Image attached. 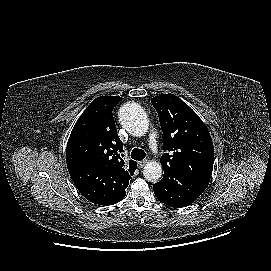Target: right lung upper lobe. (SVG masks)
<instances>
[{"instance_id":"obj_1","label":"right lung upper lobe","mask_w":271,"mask_h":271,"mask_svg":"<svg viewBox=\"0 0 271 271\" xmlns=\"http://www.w3.org/2000/svg\"><path fill=\"white\" fill-rule=\"evenodd\" d=\"M122 100L117 96L97 97L77 120L66 149L67 164L84 162L101 169L116 171L125 179L133 175L137 163L125 166L120 157L123 143L119 139L112 110Z\"/></svg>"}]
</instances>
